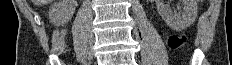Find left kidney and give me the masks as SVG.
I'll list each match as a JSON object with an SVG mask.
<instances>
[{
    "instance_id": "1",
    "label": "left kidney",
    "mask_w": 232,
    "mask_h": 65,
    "mask_svg": "<svg viewBox=\"0 0 232 65\" xmlns=\"http://www.w3.org/2000/svg\"><path fill=\"white\" fill-rule=\"evenodd\" d=\"M183 12L174 14L170 11L164 0H156L158 13L165 23L173 30L181 31L189 27L197 17V2L196 0H181Z\"/></svg>"
}]
</instances>
